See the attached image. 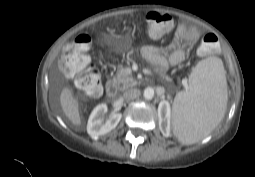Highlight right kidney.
I'll use <instances>...</instances> for the list:
<instances>
[{"mask_svg":"<svg viewBox=\"0 0 255 177\" xmlns=\"http://www.w3.org/2000/svg\"><path fill=\"white\" fill-rule=\"evenodd\" d=\"M107 112L105 103L97 105L92 111L87 124V132L92 138L105 135L114 129L121 120V113H111L109 118L104 122V115Z\"/></svg>","mask_w":255,"mask_h":177,"instance_id":"ca27d5eb","label":"right kidney"}]
</instances>
